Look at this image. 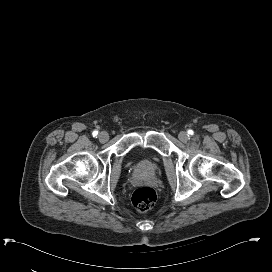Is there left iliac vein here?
I'll list each match as a JSON object with an SVG mask.
<instances>
[{
    "instance_id": "left-iliac-vein-1",
    "label": "left iliac vein",
    "mask_w": 272,
    "mask_h": 272,
    "mask_svg": "<svg viewBox=\"0 0 272 272\" xmlns=\"http://www.w3.org/2000/svg\"><path fill=\"white\" fill-rule=\"evenodd\" d=\"M178 138L181 142L185 143L188 141L189 139V136L188 134L185 132V131H181L179 134H178Z\"/></svg>"
}]
</instances>
